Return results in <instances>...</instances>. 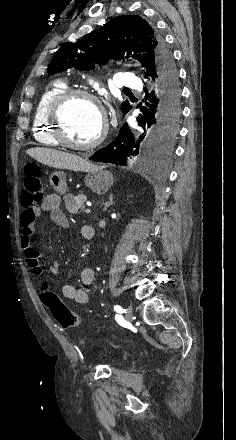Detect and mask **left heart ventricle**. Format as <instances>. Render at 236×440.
Wrapping results in <instances>:
<instances>
[{
	"label": "left heart ventricle",
	"mask_w": 236,
	"mask_h": 440,
	"mask_svg": "<svg viewBox=\"0 0 236 440\" xmlns=\"http://www.w3.org/2000/svg\"><path fill=\"white\" fill-rule=\"evenodd\" d=\"M62 117L65 135L74 143H88L101 130V113L92 102L86 99L74 98L69 101L62 112Z\"/></svg>",
	"instance_id": "left-heart-ventricle-1"
}]
</instances>
